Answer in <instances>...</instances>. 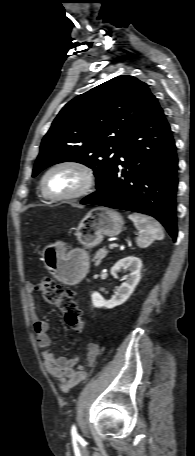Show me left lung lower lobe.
<instances>
[{"label": "left lung lower lobe", "mask_w": 195, "mask_h": 456, "mask_svg": "<svg viewBox=\"0 0 195 456\" xmlns=\"http://www.w3.org/2000/svg\"><path fill=\"white\" fill-rule=\"evenodd\" d=\"M177 168L172 132L155 99L128 132L105 180L81 204L150 215L163 224L175 241Z\"/></svg>", "instance_id": "0a47b994"}]
</instances>
